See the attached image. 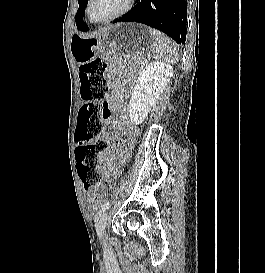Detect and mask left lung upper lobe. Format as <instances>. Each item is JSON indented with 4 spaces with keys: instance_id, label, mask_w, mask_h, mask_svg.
<instances>
[{
    "instance_id": "left-lung-upper-lobe-1",
    "label": "left lung upper lobe",
    "mask_w": 265,
    "mask_h": 273,
    "mask_svg": "<svg viewBox=\"0 0 265 273\" xmlns=\"http://www.w3.org/2000/svg\"><path fill=\"white\" fill-rule=\"evenodd\" d=\"M87 2H88V0H78L79 9H78L77 14L75 16L76 26L78 29H80L83 25L86 24L83 21V16L85 14V7L87 5Z\"/></svg>"
}]
</instances>
